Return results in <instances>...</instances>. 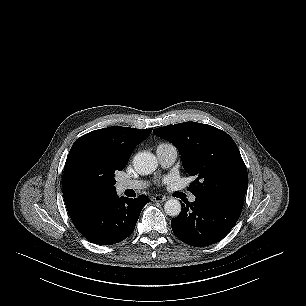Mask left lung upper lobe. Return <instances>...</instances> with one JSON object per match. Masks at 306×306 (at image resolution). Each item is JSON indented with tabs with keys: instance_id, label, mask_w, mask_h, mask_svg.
<instances>
[{
	"instance_id": "left-lung-upper-lobe-1",
	"label": "left lung upper lobe",
	"mask_w": 306,
	"mask_h": 306,
	"mask_svg": "<svg viewBox=\"0 0 306 306\" xmlns=\"http://www.w3.org/2000/svg\"><path fill=\"white\" fill-rule=\"evenodd\" d=\"M154 134L177 147L184 170L196 177L188 188L193 195L244 200L247 169L227 133L207 124L184 122L157 128Z\"/></svg>"
}]
</instances>
